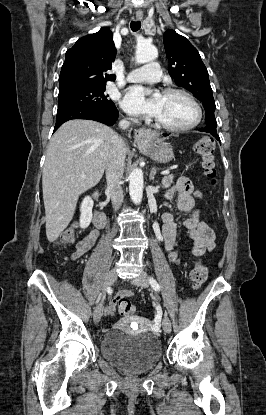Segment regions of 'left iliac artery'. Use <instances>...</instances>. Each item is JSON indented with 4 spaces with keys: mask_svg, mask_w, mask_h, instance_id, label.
I'll use <instances>...</instances> for the list:
<instances>
[{
    "mask_svg": "<svg viewBox=\"0 0 266 415\" xmlns=\"http://www.w3.org/2000/svg\"><path fill=\"white\" fill-rule=\"evenodd\" d=\"M149 282H150V284H151V286L153 287L154 290H156V291L160 290V286L154 278L150 277Z\"/></svg>",
    "mask_w": 266,
    "mask_h": 415,
    "instance_id": "44dca946",
    "label": "left iliac artery"
}]
</instances>
